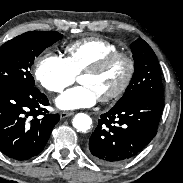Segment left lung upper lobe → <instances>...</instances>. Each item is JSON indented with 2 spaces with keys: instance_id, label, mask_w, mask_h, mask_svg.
<instances>
[{
  "instance_id": "1",
  "label": "left lung upper lobe",
  "mask_w": 183,
  "mask_h": 183,
  "mask_svg": "<svg viewBox=\"0 0 183 183\" xmlns=\"http://www.w3.org/2000/svg\"><path fill=\"white\" fill-rule=\"evenodd\" d=\"M134 74L117 105L137 97H163L160 67L152 48L141 38L131 44Z\"/></svg>"
}]
</instances>
